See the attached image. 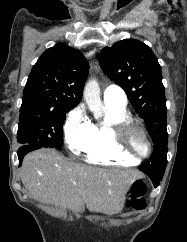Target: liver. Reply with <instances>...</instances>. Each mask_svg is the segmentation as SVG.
<instances>
[{
	"label": "liver",
	"instance_id": "liver-1",
	"mask_svg": "<svg viewBox=\"0 0 187 242\" xmlns=\"http://www.w3.org/2000/svg\"><path fill=\"white\" fill-rule=\"evenodd\" d=\"M142 174L119 168L102 169L70 161L53 149L25 156L20 178L29 194L45 203L83 212L114 215L124 207L126 194Z\"/></svg>",
	"mask_w": 187,
	"mask_h": 242
}]
</instances>
